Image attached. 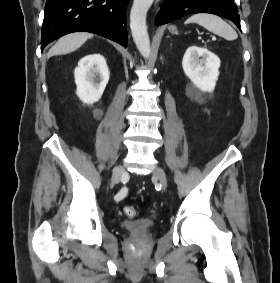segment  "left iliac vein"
<instances>
[{
	"instance_id": "obj_1",
	"label": "left iliac vein",
	"mask_w": 280,
	"mask_h": 283,
	"mask_svg": "<svg viewBox=\"0 0 280 283\" xmlns=\"http://www.w3.org/2000/svg\"><path fill=\"white\" fill-rule=\"evenodd\" d=\"M154 177L158 179L162 185V189L165 191L167 189V177L163 169L156 167L153 172Z\"/></svg>"
}]
</instances>
